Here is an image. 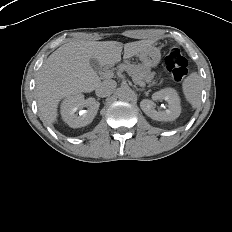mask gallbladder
<instances>
[{
    "instance_id": "bac80fb5",
    "label": "gallbladder",
    "mask_w": 232,
    "mask_h": 232,
    "mask_svg": "<svg viewBox=\"0 0 232 232\" xmlns=\"http://www.w3.org/2000/svg\"><path fill=\"white\" fill-rule=\"evenodd\" d=\"M90 65L96 72L100 70V63L95 58L90 59Z\"/></svg>"
}]
</instances>
